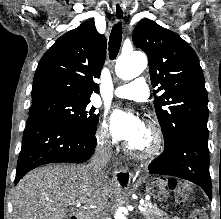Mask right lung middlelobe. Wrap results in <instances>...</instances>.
Returning a JSON list of instances; mask_svg holds the SVG:
<instances>
[{
	"instance_id": "obj_1",
	"label": "right lung middle lobe",
	"mask_w": 221,
	"mask_h": 219,
	"mask_svg": "<svg viewBox=\"0 0 221 219\" xmlns=\"http://www.w3.org/2000/svg\"><path fill=\"white\" fill-rule=\"evenodd\" d=\"M90 99L47 98L32 102L29 116L48 117L90 134L96 133L99 114Z\"/></svg>"
}]
</instances>
